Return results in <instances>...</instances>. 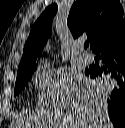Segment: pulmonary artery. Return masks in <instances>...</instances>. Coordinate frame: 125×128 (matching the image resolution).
Wrapping results in <instances>:
<instances>
[{"mask_svg": "<svg viewBox=\"0 0 125 128\" xmlns=\"http://www.w3.org/2000/svg\"><path fill=\"white\" fill-rule=\"evenodd\" d=\"M79 49H80V54H79V57H78L79 62L84 63V64L91 63L92 57L89 54H87L83 51V46L82 45L79 46Z\"/></svg>", "mask_w": 125, "mask_h": 128, "instance_id": "e3ab8cb5", "label": "pulmonary artery"}]
</instances>
